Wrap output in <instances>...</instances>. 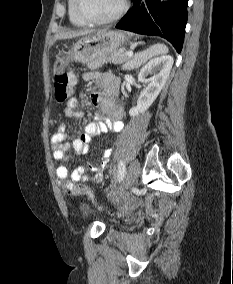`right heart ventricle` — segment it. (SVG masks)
Wrapping results in <instances>:
<instances>
[{
	"label": "right heart ventricle",
	"instance_id": "right-heart-ventricle-1",
	"mask_svg": "<svg viewBox=\"0 0 233 284\" xmlns=\"http://www.w3.org/2000/svg\"><path fill=\"white\" fill-rule=\"evenodd\" d=\"M67 8H68V18L71 24L78 27L87 25V23L84 20H82L77 14L76 0H67Z\"/></svg>",
	"mask_w": 233,
	"mask_h": 284
}]
</instances>
